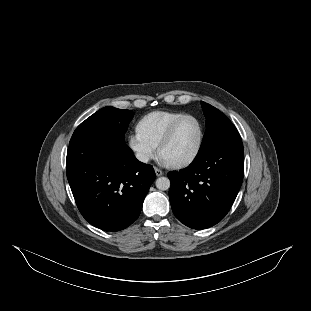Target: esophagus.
Instances as JSON below:
<instances>
[{"mask_svg":"<svg viewBox=\"0 0 311 311\" xmlns=\"http://www.w3.org/2000/svg\"><path fill=\"white\" fill-rule=\"evenodd\" d=\"M154 171L158 177L164 175V172L156 167H154Z\"/></svg>","mask_w":311,"mask_h":311,"instance_id":"34e87169","label":"esophagus"}]
</instances>
